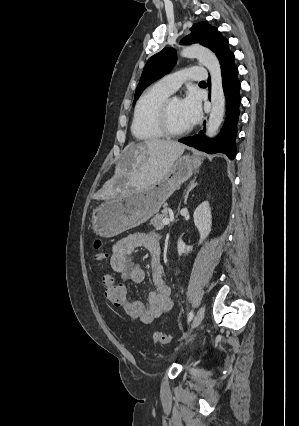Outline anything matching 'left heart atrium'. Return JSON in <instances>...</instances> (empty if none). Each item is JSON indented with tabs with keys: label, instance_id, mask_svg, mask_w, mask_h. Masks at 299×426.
<instances>
[{
	"label": "left heart atrium",
	"instance_id": "obj_1",
	"mask_svg": "<svg viewBox=\"0 0 299 426\" xmlns=\"http://www.w3.org/2000/svg\"><path fill=\"white\" fill-rule=\"evenodd\" d=\"M182 108L189 125L195 124L201 117V103L199 98L194 93H189L182 100Z\"/></svg>",
	"mask_w": 299,
	"mask_h": 426
}]
</instances>
